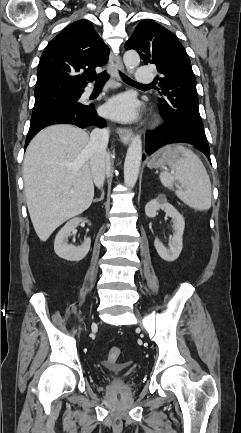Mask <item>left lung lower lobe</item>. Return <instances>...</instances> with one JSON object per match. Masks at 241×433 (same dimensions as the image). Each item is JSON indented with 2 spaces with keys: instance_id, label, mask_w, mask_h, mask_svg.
I'll return each mask as SVG.
<instances>
[{
  "instance_id": "obj_1",
  "label": "left lung lower lobe",
  "mask_w": 241,
  "mask_h": 433,
  "mask_svg": "<svg viewBox=\"0 0 241 433\" xmlns=\"http://www.w3.org/2000/svg\"><path fill=\"white\" fill-rule=\"evenodd\" d=\"M172 143H188L201 150L210 160V150L206 139H202L188 130L172 123L163 121L156 131L146 134V154L153 153L156 149ZM145 155H143V159Z\"/></svg>"
}]
</instances>
